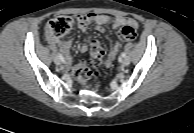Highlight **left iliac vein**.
Segmentation results:
<instances>
[{"instance_id": "4c4485c4", "label": "left iliac vein", "mask_w": 194, "mask_h": 133, "mask_svg": "<svg viewBox=\"0 0 194 133\" xmlns=\"http://www.w3.org/2000/svg\"><path fill=\"white\" fill-rule=\"evenodd\" d=\"M121 64H122L123 66H128V65L130 64V59H129L128 57H125V58L122 60Z\"/></svg>"}]
</instances>
